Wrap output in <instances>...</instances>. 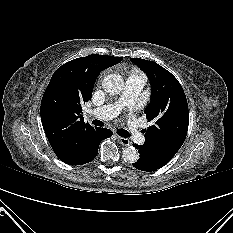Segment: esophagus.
<instances>
[{
    "mask_svg": "<svg viewBox=\"0 0 233 233\" xmlns=\"http://www.w3.org/2000/svg\"><path fill=\"white\" fill-rule=\"evenodd\" d=\"M118 141L121 145H124V146H129L131 144L130 140L124 137H118Z\"/></svg>",
    "mask_w": 233,
    "mask_h": 233,
    "instance_id": "34e87169",
    "label": "esophagus"
}]
</instances>
